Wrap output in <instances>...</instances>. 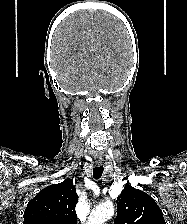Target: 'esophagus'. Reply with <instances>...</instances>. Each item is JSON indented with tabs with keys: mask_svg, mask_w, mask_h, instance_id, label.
Instances as JSON below:
<instances>
[{
	"mask_svg": "<svg viewBox=\"0 0 187 224\" xmlns=\"http://www.w3.org/2000/svg\"><path fill=\"white\" fill-rule=\"evenodd\" d=\"M101 164H102V162H99V161L96 162L97 166H100Z\"/></svg>",
	"mask_w": 187,
	"mask_h": 224,
	"instance_id": "34e87169",
	"label": "esophagus"
}]
</instances>
